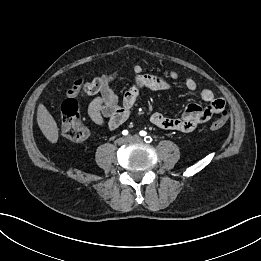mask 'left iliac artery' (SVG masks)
<instances>
[{
    "mask_svg": "<svg viewBox=\"0 0 261 261\" xmlns=\"http://www.w3.org/2000/svg\"><path fill=\"white\" fill-rule=\"evenodd\" d=\"M141 136H145L144 137V141L146 142V143H150V142H152V138L150 137V136H146V132L145 131H140V133H139Z\"/></svg>",
    "mask_w": 261,
    "mask_h": 261,
    "instance_id": "obj_1",
    "label": "left iliac artery"
}]
</instances>
